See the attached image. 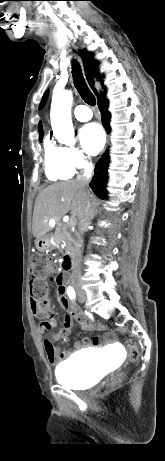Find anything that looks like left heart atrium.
<instances>
[{"mask_svg":"<svg viewBox=\"0 0 165 461\" xmlns=\"http://www.w3.org/2000/svg\"><path fill=\"white\" fill-rule=\"evenodd\" d=\"M79 136L83 149L91 155L98 154L105 144V134L95 123L83 126Z\"/></svg>","mask_w":165,"mask_h":461,"instance_id":"1","label":"left heart atrium"}]
</instances>
